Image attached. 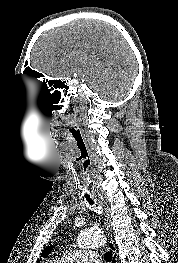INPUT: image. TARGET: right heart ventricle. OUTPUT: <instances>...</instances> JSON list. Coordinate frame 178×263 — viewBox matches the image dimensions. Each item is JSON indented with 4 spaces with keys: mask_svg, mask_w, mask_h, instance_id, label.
Returning <instances> with one entry per match:
<instances>
[{
    "mask_svg": "<svg viewBox=\"0 0 178 263\" xmlns=\"http://www.w3.org/2000/svg\"><path fill=\"white\" fill-rule=\"evenodd\" d=\"M48 263H60L57 259L50 260Z\"/></svg>",
    "mask_w": 178,
    "mask_h": 263,
    "instance_id": "right-heart-ventricle-1",
    "label": "right heart ventricle"
}]
</instances>
